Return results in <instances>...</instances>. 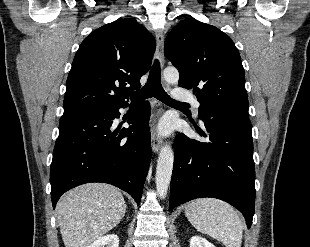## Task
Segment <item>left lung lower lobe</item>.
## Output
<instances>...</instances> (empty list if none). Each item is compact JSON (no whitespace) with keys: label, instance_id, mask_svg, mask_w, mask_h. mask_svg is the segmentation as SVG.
<instances>
[{"label":"left lung lower lobe","instance_id":"left-lung-lower-lobe-1","mask_svg":"<svg viewBox=\"0 0 310 247\" xmlns=\"http://www.w3.org/2000/svg\"><path fill=\"white\" fill-rule=\"evenodd\" d=\"M203 123L208 136L195 129L210 142L176 136L169 210L196 198H218L240 210L250 228L255 203L251 122L222 114Z\"/></svg>","mask_w":310,"mask_h":247}]
</instances>
